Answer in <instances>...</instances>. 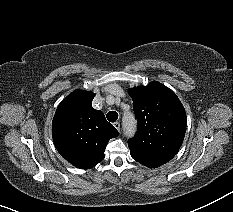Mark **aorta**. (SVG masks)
<instances>
[{"instance_id":"762f6f07","label":"aorta","mask_w":233,"mask_h":212,"mask_svg":"<svg viewBox=\"0 0 233 212\" xmlns=\"http://www.w3.org/2000/svg\"><path fill=\"white\" fill-rule=\"evenodd\" d=\"M123 124L127 133L132 134L134 132L136 125L132 114L124 115Z\"/></svg>"}]
</instances>
